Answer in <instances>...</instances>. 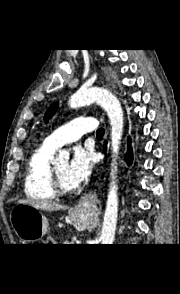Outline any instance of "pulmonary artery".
<instances>
[{
    "label": "pulmonary artery",
    "instance_id": "obj_1",
    "mask_svg": "<svg viewBox=\"0 0 180 294\" xmlns=\"http://www.w3.org/2000/svg\"><path fill=\"white\" fill-rule=\"evenodd\" d=\"M96 126L97 121L94 117H81L59 127L45 139L44 143L58 149L64 144L79 140L84 133L93 131Z\"/></svg>",
    "mask_w": 180,
    "mask_h": 294
}]
</instances>
